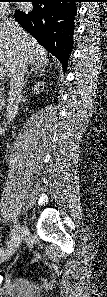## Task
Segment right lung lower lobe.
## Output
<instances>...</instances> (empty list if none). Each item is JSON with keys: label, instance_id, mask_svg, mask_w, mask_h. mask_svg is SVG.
I'll return each mask as SVG.
<instances>
[{"label": "right lung lower lobe", "instance_id": "98d812e1", "mask_svg": "<svg viewBox=\"0 0 107 297\" xmlns=\"http://www.w3.org/2000/svg\"><path fill=\"white\" fill-rule=\"evenodd\" d=\"M34 8L25 13L16 11L15 20L62 64L67 67L72 51L75 0H34Z\"/></svg>", "mask_w": 107, "mask_h": 297}]
</instances>
